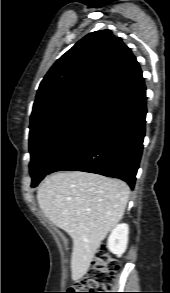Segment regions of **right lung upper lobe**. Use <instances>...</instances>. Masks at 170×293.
<instances>
[{
    "label": "right lung upper lobe",
    "mask_w": 170,
    "mask_h": 293,
    "mask_svg": "<svg viewBox=\"0 0 170 293\" xmlns=\"http://www.w3.org/2000/svg\"><path fill=\"white\" fill-rule=\"evenodd\" d=\"M144 83L139 64L110 30L95 31L77 42L42 80L30 127L68 107L107 103Z\"/></svg>",
    "instance_id": "cb5924a9"
}]
</instances>
